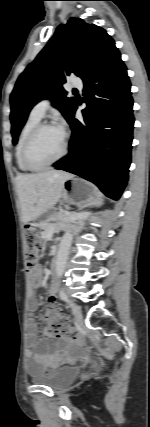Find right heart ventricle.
Listing matches in <instances>:
<instances>
[{
	"mask_svg": "<svg viewBox=\"0 0 150 427\" xmlns=\"http://www.w3.org/2000/svg\"><path fill=\"white\" fill-rule=\"evenodd\" d=\"M40 120H41L40 117L36 116L33 112H31L29 114L28 118L26 119L24 125L22 126L21 130H20L18 140H17V144H16V148H15V158H16L18 168L22 171H28L29 170L24 165L23 160H22L23 143H24L25 138L27 137L28 133L31 131V129L35 125L40 123Z\"/></svg>",
	"mask_w": 150,
	"mask_h": 427,
	"instance_id": "e07e8e85",
	"label": "right heart ventricle"
}]
</instances>
